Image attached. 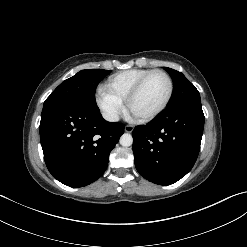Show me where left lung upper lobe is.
<instances>
[{
  "label": "left lung upper lobe",
  "instance_id": "1",
  "mask_svg": "<svg viewBox=\"0 0 247 247\" xmlns=\"http://www.w3.org/2000/svg\"><path fill=\"white\" fill-rule=\"evenodd\" d=\"M164 70L170 74L174 84L173 97L168 107H172L186 101L200 100L198 90L181 72L168 67H164Z\"/></svg>",
  "mask_w": 247,
  "mask_h": 247
}]
</instances>
